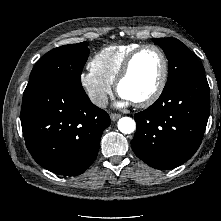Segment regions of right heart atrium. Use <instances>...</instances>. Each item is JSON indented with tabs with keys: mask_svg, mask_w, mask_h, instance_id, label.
Masks as SVG:
<instances>
[{
	"mask_svg": "<svg viewBox=\"0 0 221 221\" xmlns=\"http://www.w3.org/2000/svg\"><path fill=\"white\" fill-rule=\"evenodd\" d=\"M80 85L89 100L98 107H103L113 91L112 83L97 75L91 68L80 74Z\"/></svg>",
	"mask_w": 221,
	"mask_h": 221,
	"instance_id": "1",
	"label": "right heart atrium"
}]
</instances>
